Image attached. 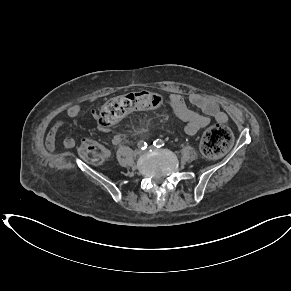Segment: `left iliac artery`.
Here are the masks:
<instances>
[{
  "instance_id": "left-iliac-artery-1",
  "label": "left iliac artery",
  "mask_w": 291,
  "mask_h": 291,
  "mask_svg": "<svg viewBox=\"0 0 291 291\" xmlns=\"http://www.w3.org/2000/svg\"><path fill=\"white\" fill-rule=\"evenodd\" d=\"M153 145L157 148L159 147H162L165 145V142L161 139H156L154 142H153Z\"/></svg>"
}]
</instances>
